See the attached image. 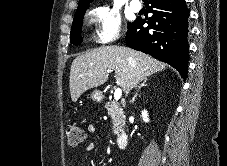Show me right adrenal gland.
Instances as JSON below:
<instances>
[{"mask_svg": "<svg viewBox=\"0 0 227 166\" xmlns=\"http://www.w3.org/2000/svg\"><path fill=\"white\" fill-rule=\"evenodd\" d=\"M146 82H147V79L143 80V82L140 84V86H139L137 92L135 93V95L133 96V98H132V100H131V103H134V102L136 101V97H137V95H138V91H139L142 87H146V86H147Z\"/></svg>", "mask_w": 227, "mask_h": 166, "instance_id": "right-adrenal-gland-1", "label": "right adrenal gland"}]
</instances>
